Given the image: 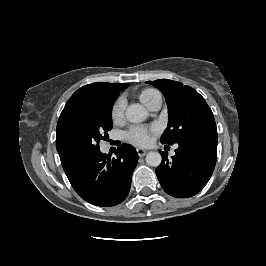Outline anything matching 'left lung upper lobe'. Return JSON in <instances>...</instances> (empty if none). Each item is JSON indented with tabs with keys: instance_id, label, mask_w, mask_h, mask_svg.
<instances>
[{
	"instance_id": "left-lung-upper-lobe-1",
	"label": "left lung upper lobe",
	"mask_w": 266,
	"mask_h": 266,
	"mask_svg": "<svg viewBox=\"0 0 266 266\" xmlns=\"http://www.w3.org/2000/svg\"><path fill=\"white\" fill-rule=\"evenodd\" d=\"M147 83L163 93L168 105V126L161 136V143L173 145L206 137L217 138L213 113L195 89L168 79Z\"/></svg>"
}]
</instances>
